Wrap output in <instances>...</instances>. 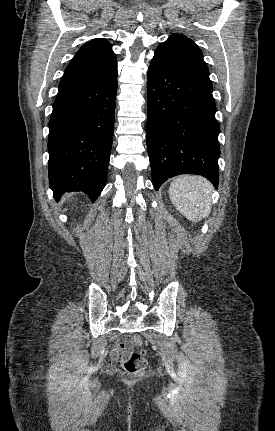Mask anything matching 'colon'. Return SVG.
Returning <instances> with one entry per match:
<instances>
[{"instance_id": "1", "label": "colon", "mask_w": 275, "mask_h": 431, "mask_svg": "<svg viewBox=\"0 0 275 431\" xmlns=\"http://www.w3.org/2000/svg\"><path fill=\"white\" fill-rule=\"evenodd\" d=\"M125 344L127 346H140L142 344V339L139 336H134L132 338L125 339ZM147 364L145 358V353L133 352L128 359L124 362V369L131 374H139L143 371Z\"/></svg>"}]
</instances>
